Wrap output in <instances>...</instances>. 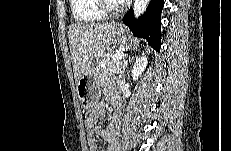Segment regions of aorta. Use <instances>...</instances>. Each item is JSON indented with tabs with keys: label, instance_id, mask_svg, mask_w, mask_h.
Here are the masks:
<instances>
[{
	"label": "aorta",
	"instance_id": "762f6f07",
	"mask_svg": "<svg viewBox=\"0 0 231 151\" xmlns=\"http://www.w3.org/2000/svg\"><path fill=\"white\" fill-rule=\"evenodd\" d=\"M149 4V0H135L134 2V16L140 17Z\"/></svg>",
	"mask_w": 231,
	"mask_h": 151
}]
</instances>
